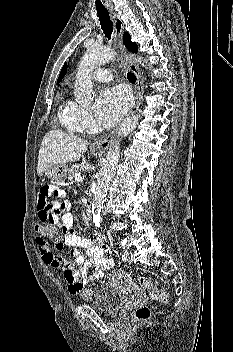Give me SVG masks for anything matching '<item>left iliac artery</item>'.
<instances>
[{"instance_id": "1", "label": "left iliac artery", "mask_w": 233, "mask_h": 352, "mask_svg": "<svg viewBox=\"0 0 233 352\" xmlns=\"http://www.w3.org/2000/svg\"><path fill=\"white\" fill-rule=\"evenodd\" d=\"M122 260L125 261L126 260V255H122Z\"/></svg>"}]
</instances>
